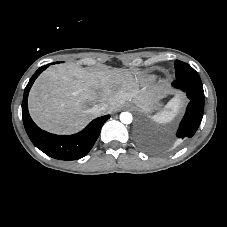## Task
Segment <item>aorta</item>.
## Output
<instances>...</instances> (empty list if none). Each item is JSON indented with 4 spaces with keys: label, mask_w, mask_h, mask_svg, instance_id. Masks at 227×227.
I'll use <instances>...</instances> for the list:
<instances>
[{
    "label": "aorta",
    "mask_w": 227,
    "mask_h": 227,
    "mask_svg": "<svg viewBox=\"0 0 227 227\" xmlns=\"http://www.w3.org/2000/svg\"><path fill=\"white\" fill-rule=\"evenodd\" d=\"M132 114L129 113V112H122L120 114V121L123 123V124H130L132 122Z\"/></svg>",
    "instance_id": "aorta-1"
}]
</instances>
